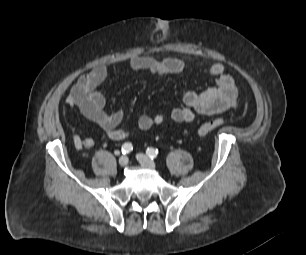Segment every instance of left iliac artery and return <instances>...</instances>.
Masks as SVG:
<instances>
[{
	"instance_id": "44dca946",
	"label": "left iliac artery",
	"mask_w": 306,
	"mask_h": 255,
	"mask_svg": "<svg viewBox=\"0 0 306 255\" xmlns=\"http://www.w3.org/2000/svg\"><path fill=\"white\" fill-rule=\"evenodd\" d=\"M146 154L151 158V159H154L157 157L158 155V150L157 149H154L152 147L150 148H147L146 149Z\"/></svg>"
}]
</instances>
